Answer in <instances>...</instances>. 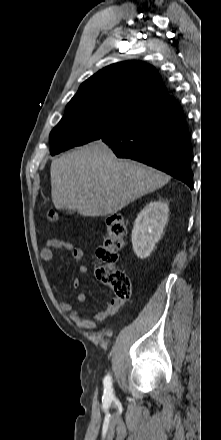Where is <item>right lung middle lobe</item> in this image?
I'll return each instance as SVG.
<instances>
[{
  "label": "right lung middle lobe",
  "instance_id": "obj_1",
  "mask_svg": "<svg viewBox=\"0 0 221 440\" xmlns=\"http://www.w3.org/2000/svg\"><path fill=\"white\" fill-rule=\"evenodd\" d=\"M134 111L108 101L68 103L63 118L50 133L51 155L100 139Z\"/></svg>",
  "mask_w": 221,
  "mask_h": 440
}]
</instances>
